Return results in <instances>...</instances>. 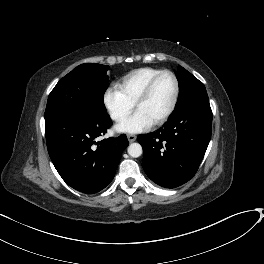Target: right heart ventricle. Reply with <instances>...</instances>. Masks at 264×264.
<instances>
[{
    "label": "right heart ventricle",
    "mask_w": 264,
    "mask_h": 264,
    "mask_svg": "<svg viewBox=\"0 0 264 264\" xmlns=\"http://www.w3.org/2000/svg\"><path fill=\"white\" fill-rule=\"evenodd\" d=\"M157 68H140L126 74L118 84L119 89L134 104L148 81L159 73Z\"/></svg>",
    "instance_id": "obj_1"
}]
</instances>
